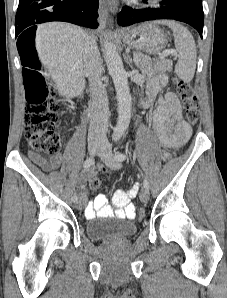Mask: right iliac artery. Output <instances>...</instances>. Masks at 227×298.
I'll return each instance as SVG.
<instances>
[{
  "mask_svg": "<svg viewBox=\"0 0 227 298\" xmlns=\"http://www.w3.org/2000/svg\"><path fill=\"white\" fill-rule=\"evenodd\" d=\"M94 163V159L92 158V157H90V158H87L85 161H84V164H83V167L85 168V169H88L92 164ZM77 196H73L72 197V200L75 202V201H77Z\"/></svg>",
  "mask_w": 227,
  "mask_h": 298,
  "instance_id": "right-iliac-artery-1",
  "label": "right iliac artery"
}]
</instances>
